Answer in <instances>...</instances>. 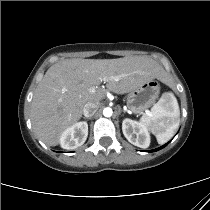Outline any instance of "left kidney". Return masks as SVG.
<instances>
[{"instance_id":"obj_1","label":"left kidney","mask_w":210,"mask_h":210,"mask_svg":"<svg viewBox=\"0 0 210 210\" xmlns=\"http://www.w3.org/2000/svg\"><path fill=\"white\" fill-rule=\"evenodd\" d=\"M122 131L131 144L140 148L149 147L150 135L142 123L126 118L122 122Z\"/></svg>"}]
</instances>
